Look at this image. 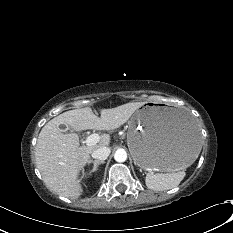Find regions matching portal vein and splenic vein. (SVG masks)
I'll return each instance as SVG.
<instances>
[{
    "instance_id": "1",
    "label": "portal vein and splenic vein",
    "mask_w": 233,
    "mask_h": 233,
    "mask_svg": "<svg viewBox=\"0 0 233 233\" xmlns=\"http://www.w3.org/2000/svg\"><path fill=\"white\" fill-rule=\"evenodd\" d=\"M100 140V136L98 134H91L89 135L86 140H85V143L86 145L88 146H92V145H95L99 142Z\"/></svg>"
}]
</instances>
